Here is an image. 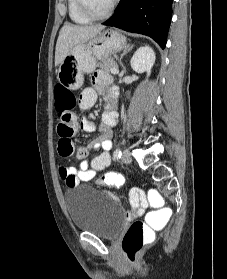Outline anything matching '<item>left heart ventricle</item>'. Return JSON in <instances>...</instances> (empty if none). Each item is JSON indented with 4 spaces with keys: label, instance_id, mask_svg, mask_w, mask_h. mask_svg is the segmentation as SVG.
<instances>
[{
    "label": "left heart ventricle",
    "instance_id": "left-heart-ventricle-1",
    "mask_svg": "<svg viewBox=\"0 0 227 279\" xmlns=\"http://www.w3.org/2000/svg\"><path fill=\"white\" fill-rule=\"evenodd\" d=\"M90 9L95 13V14H103L105 13L112 0H86Z\"/></svg>",
    "mask_w": 227,
    "mask_h": 279
}]
</instances>
